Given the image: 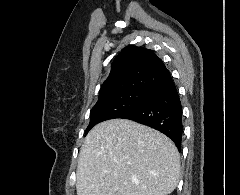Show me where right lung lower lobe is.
Returning a JSON list of instances; mask_svg holds the SVG:
<instances>
[{
    "mask_svg": "<svg viewBox=\"0 0 240 195\" xmlns=\"http://www.w3.org/2000/svg\"><path fill=\"white\" fill-rule=\"evenodd\" d=\"M119 118L133 120L159 130L175 143L179 151L181 150L182 106L172 78L152 87L138 106Z\"/></svg>",
    "mask_w": 240,
    "mask_h": 195,
    "instance_id": "1",
    "label": "right lung lower lobe"
}]
</instances>
